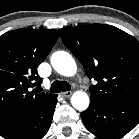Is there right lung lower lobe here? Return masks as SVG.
Wrapping results in <instances>:
<instances>
[{"mask_svg":"<svg viewBox=\"0 0 139 139\" xmlns=\"http://www.w3.org/2000/svg\"><path fill=\"white\" fill-rule=\"evenodd\" d=\"M57 103V95L35 111L16 118L0 127L5 139H41L49 130Z\"/></svg>","mask_w":139,"mask_h":139,"instance_id":"right-lung-lower-lobe-1","label":"right lung lower lobe"}]
</instances>
